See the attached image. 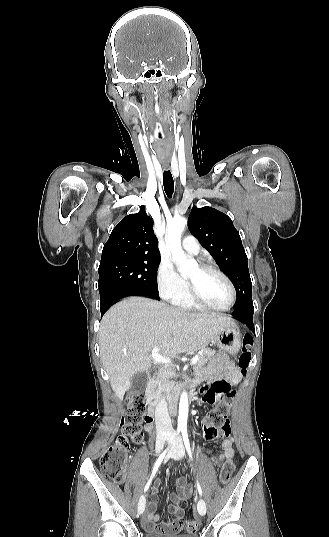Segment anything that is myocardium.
I'll return each instance as SVG.
<instances>
[{
	"instance_id": "myocardium-1",
	"label": "myocardium",
	"mask_w": 329,
	"mask_h": 537,
	"mask_svg": "<svg viewBox=\"0 0 329 537\" xmlns=\"http://www.w3.org/2000/svg\"><path fill=\"white\" fill-rule=\"evenodd\" d=\"M199 267L204 271L216 273L227 283L231 292V300H230V303L226 307H223V308L212 306L199 297V295L195 292L194 287L191 284V282L188 281V291H189V296L191 300L196 305H198L200 308H203V309L221 311V312H226V311L231 310L237 301L236 289L231 279L223 271H221L219 268H217L214 265L202 263V264H199Z\"/></svg>"
}]
</instances>
